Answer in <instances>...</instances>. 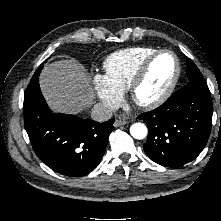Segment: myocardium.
Wrapping results in <instances>:
<instances>
[{"label": "myocardium", "mask_w": 221, "mask_h": 221, "mask_svg": "<svg viewBox=\"0 0 221 221\" xmlns=\"http://www.w3.org/2000/svg\"><path fill=\"white\" fill-rule=\"evenodd\" d=\"M162 54H170L175 61V73L168 84V86L155 98L150 100H140L137 97V92L144 80L146 79L149 69L152 63ZM181 75V64L179 61L178 56L169 49H159L156 50L154 53L149 55L143 63L140 65L139 69L137 70L134 78L131 81V84L128 88L130 99L139 107L144 109H152L160 106L163 104L173 93L175 90L177 83L179 81Z\"/></svg>", "instance_id": "f54148a6"}]
</instances>
